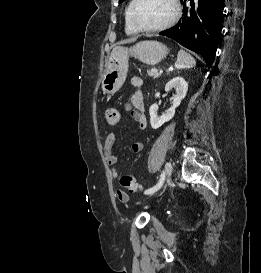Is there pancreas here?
Segmentation results:
<instances>
[{"instance_id":"cf45deb5","label":"pancreas","mask_w":261,"mask_h":273,"mask_svg":"<svg viewBox=\"0 0 261 273\" xmlns=\"http://www.w3.org/2000/svg\"><path fill=\"white\" fill-rule=\"evenodd\" d=\"M147 74L150 77H153L154 79L160 77V75H161V73H159L156 68H152V69L148 70Z\"/></svg>"}]
</instances>
